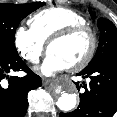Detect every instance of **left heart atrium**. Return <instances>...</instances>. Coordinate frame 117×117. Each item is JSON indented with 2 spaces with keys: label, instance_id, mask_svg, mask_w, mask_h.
<instances>
[{
  "label": "left heart atrium",
  "instance_id": "obj_1",
  "mask_svg": "<svg viewBox=\"0 0 117 117\" xmlns=\"http://www.w3.org/2000/svg\"><path fill=\"white\" fill-rule=\"evenodd\" d=\"M68 68L69 65L64 60L56 55L49 53L40 66L39 70L45 76H52Z\"/></svg>",
  "mask_w": 117,
  "mask_h": 117
}]
</instances>
